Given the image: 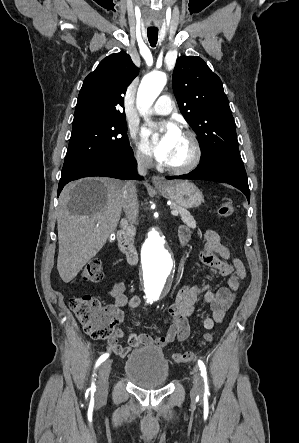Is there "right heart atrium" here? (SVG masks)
I'll use <instances>...</instances> for the list:
<instances>
[{
  "mask_svg": "<svg viewBox=\"0 0 299 443\" xmlns=\"http://www.w3.org/2000/svg\"><path fill=\"white\" fill-rule=\"evenodd\" d=\"M134 157L138 165L148 167L151 164V159L148 154L139 146H136Z\"/></svg>",
  "mask_w": 299,
  "mask_h": 443,
  "instance_id": "1",
  "label": "right heart atrium"
}]
</instances>
